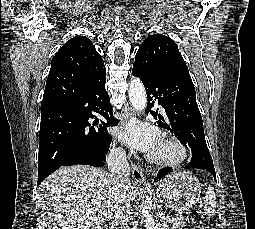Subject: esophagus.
I'll return each instance as SVG.
<instances>
[{
  "label": "esophagus",
  "instance_id": "obj_1",
  "mask_svg": "<svg viewBox=\"0 0 255 229\" xmlns=\"http://www.w3.org/2000/svg\"><path fill=\"white\" fill-rule=\"evenodd\" d=\"M135 115H136L135 111L132 108H129L126 113L125 120L126 121L129 120L132 117H134ZM131 170H132V176L137 182L144 181V175H143L142 168H140L139 166L132 163Z\"/></svg>",
  "mask_w": 255,
  "mask_h": 229
}]
</instances>
